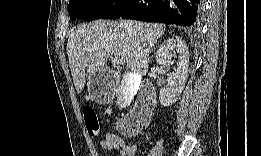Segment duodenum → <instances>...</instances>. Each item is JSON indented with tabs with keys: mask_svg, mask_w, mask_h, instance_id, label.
<instances>
[{
	"mask_svg": "<svg viewBox=\"0 0 261 156\" xmlns=\"http://www.w3.org/2000/svg\"><path fill=\"white\" fill-rule=\"evenodd\" d=\"M156 93L151 85H145L141 97L138 100L135 110L131 115V122L136 124L141 121L148 119L154 110V100Z\"/></svg>",
	"mask_w": 261,
	"mask_h": 156,
	"instance_id": "410a0bca",
	"label": "duodenum"
}]
</instances>
